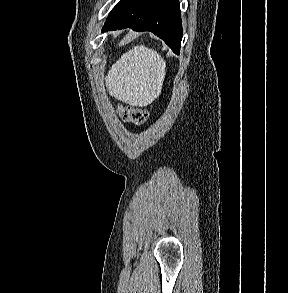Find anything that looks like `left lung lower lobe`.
Segmentation results:
<instances>
[{"mask_svg": "<svg viewBox=\"0 0 288 293\" xmlns=\"http://www.w3.org/2000/svg\"><path fill=\"white\" fill-rule=\"evenodd\" d=\"M130 27L151 31L180 53L182 24L178 0H121L109 14L102 32Z\"/></svg>", "mask_w": 288, "mask_h": 293, "instance_id": "obj_1", "label": "left lung lower lobe"}]
</instances>
